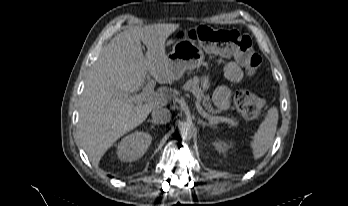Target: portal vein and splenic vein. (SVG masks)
I'll return each mask as SVG.
<instances>
[{"label":"portal vein and splenic vein","mask_w":348,"mask_h":206,"mask_svg":"<svg viewBox=\"0 0 348 206\" xmlns=\"http://www.w3.org/2000/svg\"><path fill=\"white\" fill-rule=\"evenodd\" d=\"M154 86H155V81L153 79H149L148 84L143 88V91L140 94L135 96L125 95V98L138 104H141L142 102H146V101L165 99V95L163 93L154 92ZM195 104L199 114L203 116L204 118H207L208 120L213 121L215 123L229 122V118L209 115L207 112L204 111V109L200 105L199 100H197Z\"/></svg>","instance_id":"18ae733b"}]
</instances>
